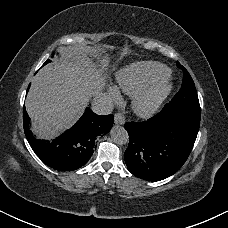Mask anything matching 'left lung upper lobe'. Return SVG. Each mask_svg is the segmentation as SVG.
I'll return each instance as SVG.
<instances>
[{"label":"left lung upper lobe","instance_id":"1","mask_svg":"<svg viewBox=\"0 0 228 228\" xmlns=\"http://www.w3.org/2000/svg\"><path fill=\"white\" fill-rule=\"evenodd\" d=\"M183 71V82L180 91L165 105L163 113L168 116H183L186 118H201V110L194 82L188 71L177 62Z\"/></svg>","mask_w":228,"mask_h":228}]
</instances>
